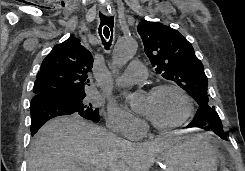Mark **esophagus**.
I'll return each instance as SVG.
<instances>
[{
    "mask_svg": "<svg viewBox=\"0 0 245 171\" xmlns=\"http://www.w3.org/2000/svg\"><path fill=\"white\" fill-rule=\"evenodd\" d=\"M100 10L102 11V13L104 14H113L114 12L111 10V8L107 5H101L100 6Z\"/></svg>",
    "mask_w": 245,
    "mask_h": 171,
    "instance_id": "obj_1",
    "label": "esophagus"
}]
</instances>
